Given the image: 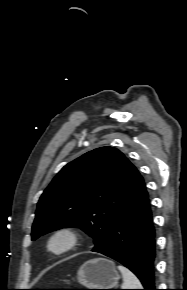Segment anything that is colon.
<instances>
[{
  "mask_svg": "<svg viewBox=\"0 0 187 290\" xmlns=\"http://www.w3.org/2000/svg\"><path fill=\"white\" fill-rule=\"evenodd\" d=\"M34 290H80V289H34Z\"/></svg>",
  "mask_w": 187,
  "mask_h": 290,
  "instance_id": "obj_1",
  "label": "colon"
}]
</instances>
